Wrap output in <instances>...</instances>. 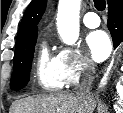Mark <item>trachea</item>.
Returning <instances> with one entry per match:
<instances>
[{"mask_svg":"<svg viewBox=\"0 0 123 113\" xmlns=\"http://www.w3.org/2000/svg\"><path fill=\"white\" fill-rule=\"evenodd\" d=\"M94 4L97 10L103 11L106 7L105 0H94Z\"/></svg>","mask_w":123,"mask_h":113,"instance_id":"1","label":"trachea"}]
</instances>
